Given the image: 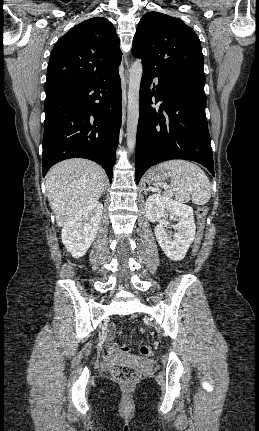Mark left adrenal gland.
<instances>
[{
	"instance_id": "1",
	"label": "left adrenal gland",
	"mask_w": 259,
	"mask_h": 431,
	"mask_svg": "<svg viewBox=\"0 0 259 431\" xmlns=\"http://www.w3.org/2000/svg\"><path fill=\"white\" fill-rule=\"evenodd\" d=\"M150 189L149 188H147V186L144 184V194H147V192L149 191Z\"/></svg>"
}]
</instances>
